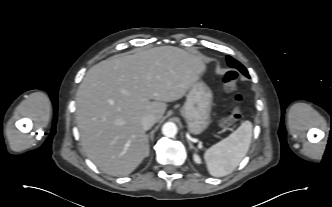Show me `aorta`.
<instances>
[{"mask_svg": "<svg viewBox=\"0 0 332 207\" xmlns=\"http://www.w3.org/2000/svg\"><path fill=\"white\" fill-rule=\"evenodd\" d=\"M162 133L167 137H174L177 134V126L173 122H167L162 127Z\"/></svg>", "mask_w": 332, "mask_h": 207, "instance_id": "obj_1", "label": "aorta"}]
</instances>
